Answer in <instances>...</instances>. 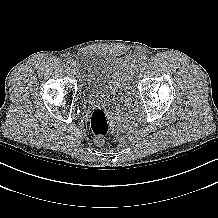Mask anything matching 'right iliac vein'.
<instances>
[{"mask_svg":"<svg viewBox=\"0 0 218 218\" xmlns=\"http://www.w3.org/2000/svg\"><path fill=\"white\" fill-rule=\"evenodd\" d=\"M71 68L74 72H77L78 70V64L74 61L72 64H71Z\"/></svg>","mask_w":218,"mask_h":218,"instance_id":"63e3f726","label":"right iliac vein"}]
</instances>
